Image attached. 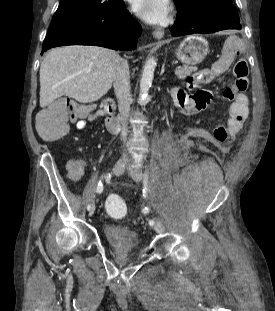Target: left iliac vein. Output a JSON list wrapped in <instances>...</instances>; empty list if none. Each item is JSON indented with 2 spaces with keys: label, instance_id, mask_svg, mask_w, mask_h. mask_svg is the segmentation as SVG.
<instances>
[{
  "label": "left iliac vein",
  "instance_id": "obj_1",
  "mask_svg": "<svg viewBox=\"0 0 275 311\" xmlns=\"http://www.w3.org/2000/svg\"><path fill=\"white\" fill-rule=\"evenodd\" d=\"M130 174L134 181L140 182L142 180V173L139 168L130 169ZM154 229L158 233H162L164 231V226L161 221L157 219L155 220Z\"/></svg>",
  "mask_w": 275,
  "mask_h": 311
}]
</instances>
